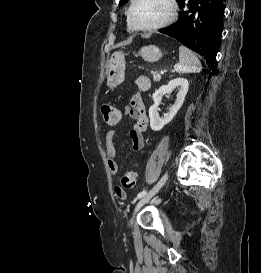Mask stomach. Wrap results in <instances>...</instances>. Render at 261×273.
Returning <instances> with one entry per match:
<instances>
[{"instance_id":"obj_1","label":"stomach","mask_w":261,"mask_h":273,"mask_svg":"<svg viewBox=\"0 0 261 273\" xmlns=\"http://www.w3.org/2000/svg\"><path fill=\"white\" fill-rule=\"evenodd\" d=\"M139 55L147 62H156L161 56L162 52L156 45L144 46L140 49ZM125 77V58L121 52L112 54L107 75V86L111 89L124 81Z\"/></svg>"}]
</instances>
